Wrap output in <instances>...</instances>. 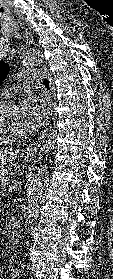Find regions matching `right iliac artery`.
<instances>
[{"label": "right iliac artery", "instance_id": "82829eb1", "mask_svg": "<svg viewBox=\"0 0 113 279\" xmlns=\"http://www.w3.org/2000/svg\"><path fill=\"white\" fill-rule=\"evenodd\" d=\"M19 275V270L17 268H13L11 270V276L14 278V277H17Z\"/></svg>", "mask_w": 113, "mask_h": 279}]
</instances>
